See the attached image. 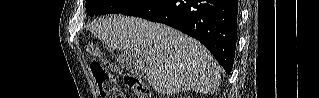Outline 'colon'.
Listing matches in <instances>:
<instances>
[{
	"mask_svg": "<svg viewBox=\"0 0 319 98\" xmlns=\"http://www.w3.org/2000/svg\"><path fill=\"white\" fill-rule=\"evenodd\" d=\"M90 69L101 97L122 98V94L117 88L118 78L115 74L107 72L99 63H92ZM117 73L121 74L119 70H117ZM122 77L125 85L134 92L136 98H147L149 96V89L137 76L123 73Z\"/></svg>",
	"mask_w": 319,
	"mask_h": 98,
	"instance_id": "1",
	"label": "colon"
}]
</instances>
